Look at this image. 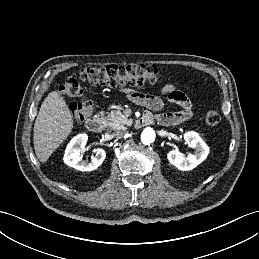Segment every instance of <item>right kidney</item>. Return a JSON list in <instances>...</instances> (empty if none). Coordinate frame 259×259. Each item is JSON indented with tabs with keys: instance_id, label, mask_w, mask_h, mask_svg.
Wrapping results in <instances>:
<instances>
[{
	"instance_id": "obj_1",
	"label": "right kidney",
	"mask_w": 259,
	"mask_h": 259,
	"mask_svg": "<svg viewBox=\"0 0 259 259\" xmlns=\"http://www.w3.org/2000/svg\"><path fill=\"white\" fill-rule=\"evenodd\" d=\"M87 140L88 136L85 133L78 134L71 139L66 147L63 158L65 164L80 171H93L103 163L106 157V152L101 148L93 150L95 156L91 158L90 162L82 160L81 152L84 149Z\"/></svg>"
}]
</instances>
